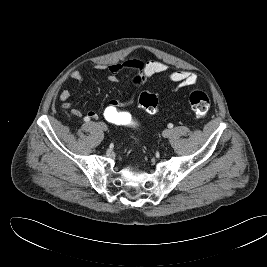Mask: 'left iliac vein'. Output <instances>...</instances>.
Segmentation results:
<instances>
[{"label": "left iliac vein", "instance_id": "left-iliac-vein-1", "mask_svg": "<svg viewBox=\"0 0 267 267\" xmlns=\"http://www.w3.org/2000/svg\"><path fill=\"white\" fill-rule=\"evenodd\" d=\"M172 134V131L170 129H165L162 133L163 137L168 138Z\"/></svg>", "mask_w": 267, "mask_h": 267}]
</instances>
